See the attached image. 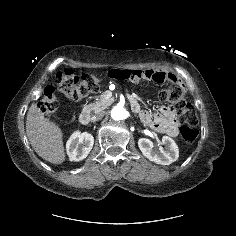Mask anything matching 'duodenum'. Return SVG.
Listing matches in <instances>:
<instances>
[{
  "mask_svg": "<svg viewBox=\"0 0 236 236\" xmlns=\"http://www.w3.org/2000/svg\"><path fill=\"white\" fill-rule=\"evenodd\" d=\"M128 101H129L132 109L135 112H139L140 111L139 103H138V101L134 97L129 96L128 97ZM79 122L82 125H87L90 122V114H89V112L87 110H83L80 113V115H79Z\"/></svg>",
  "mask_w": 236,
  "mask_h": 236,
  "instance_id": "410a0bca",
  "label": "duodenum"
}]
</instances>
